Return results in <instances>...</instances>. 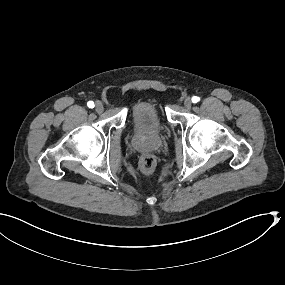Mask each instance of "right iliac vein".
Returning <instances> with one entry per match:
<instances>
[{"instance_id":"1","label":"right iliac vein","mask_w":285,"mask_h":285,"mask_svg":"<svg viewBox=\"0 0 285 285\" xmlns=\"http://www.w3.org/2000/svg\"><path fill=\"white\" fill-rule=\"evenodd\" d=\"M95 110L98 112V113H102L104 111V106L102 103L100 102H97L96 105H95Z\"/></svg>"}]
</instances>
